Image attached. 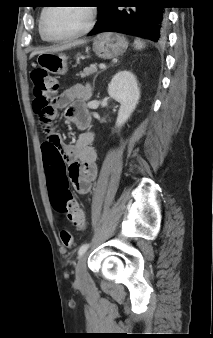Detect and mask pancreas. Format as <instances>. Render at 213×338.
Wrapping results in <instances>:
<instances>
[{"mask_svg": "<svg viewBox=\"0 0 213 338\" xmlns=\"http://www.w3.org/2000/svg\"><path fill=\"white\" fill-rule=\"evenodd\" d=\"M97 72V67L96 65H91L90 67H86L82 72H80L78 74V76H81V77H86V76H89L93 73Z\"/></svg>", "mask_w": 213, "mask_h": 338, "instance_id": "1", "label": "pancreas"}]
</instances>
